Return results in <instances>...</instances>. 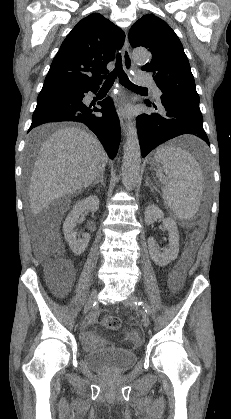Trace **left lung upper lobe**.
I'll list each match as a JSON object with an SVG mask.
<instances>
[{
    "instance_id": "obj_1",
    "label": "left lung upper lobe",
    "mask_w": 231,
    "mask_h": 419,
    "mask_svg": "<svg viewBox=\"0 0 231 419\" xmlns=\"http://www.w3.org/2000/svg\"><path fill=\"white\" fill-rule=\"evenodd\" d=\"M132 47L143 46L151 52V61L142 67L153 72L163 97L199 100L195 81L183 46L172 28L154 14H146L129 31Z\"/></svg>"
}]
</instances>
